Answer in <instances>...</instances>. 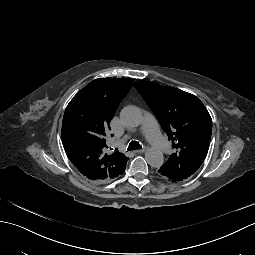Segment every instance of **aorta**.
I'll return each mask as SVG.
<instances>
[{"mask_svg":"<svg viewBox=\"0 0 255 255\" xmlns=\"http://www.w3.org/2000/svg\"><path fill=\"white\" fill-rule=\"evenodd\" d=\"M121 119L128 127H137L142 123V113L138 107L127 106L121 111ZM147 163L154 168H159L163 165L164 157L160 150L150 148L145 153Z\"/></svg>","mask_w":255,"mask_h":255,"instance_id":"1","label":"aorta"}]
</instances>
